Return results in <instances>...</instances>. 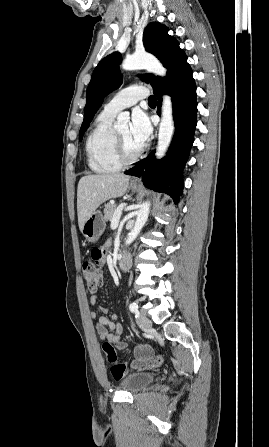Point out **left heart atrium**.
Masks as SVG:
<instances>
[{"label":"left heart atrium","instance_id":"1","mask_svg":"<svg viewBox=\"0 0 269 447\" xmlns=\"http://www.w3.org/2000/svg\"><path fill=\"white\" fill-rule=\"evenodd\" d=\"M130 130L132 138L141 145L148 140L152 133V127L149 119L140 109H136L133 112Z\"/></svg>","mask_w":269,"mask_h":447}]
</instances>
